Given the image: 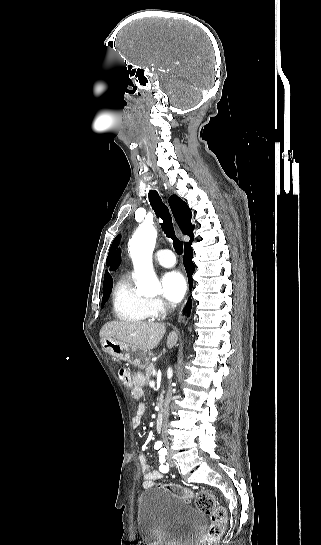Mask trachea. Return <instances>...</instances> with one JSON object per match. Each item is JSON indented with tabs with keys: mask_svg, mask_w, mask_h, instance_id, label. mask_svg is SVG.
Returning <instances> with one entry per match:
<instances>
[{
	"mask_svg": "<svg viewBox=\"0 0 321 545\" xmlns=\"http://www.w3.org/2000/svg\"><path fill=\"white\" fill-rule=\"evenodd\" d=\"M148 188L154 187L153 178H149V181L147 182ZM149 201L150 205L152 206L153 210L155 211L156 215L161 220V227L164 233L168 238H171L173 241V247L175 249V252L178 253V255H182L183 253V245L184 243L179 240L174 232L173 223H172V217L169 213L168 208L166 205L162 202L161 197L159 196L158 192L154 190L149 191Z\"/></svg>",
	"mask_w": 321,
	"mask_h": 545,
	"instance_id": "3493384b",
	"label": "trachea"
}]
</instances>
